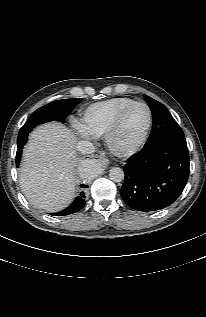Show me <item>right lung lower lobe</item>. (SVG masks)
<instances>
[{
	"instance_id": "right-lung-lower-lobe-1",
	"label": "right lung lower lobe",
	"mask_w": 206,
	"mask_h": 317,
	"mask_svg": "<svg viewBox=\"0 0 206 317\" xmlns=\"http://www.w3.org/2000/svg\"><path fill=\"white\" fill-rule=\"evenodd\" d=\"M82 187H88L87 185H82ZM85 193L84 192H80L79 195L76 197V199L74 200V202L67 207L66 209L60 211L59 213H54L51 214L53 216H65V215H69V214H73L78 212L79 210H81L85 204Z\"/></svg>"
}]
</instances>
